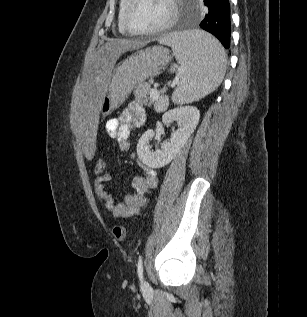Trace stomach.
<instances>
[{
	"label": "stomach",
	"instance_id": "stomach-1",
	"mask_svg": "<svg viewBox=\"0 0 307 317\" xmlns=\"http://www.w3.org/2000/svg\"><path fill=\"white\" fill-rule=\"evenodd\" d=\"M170 60L171 55L167 48L153 46L135 52L119 62L101 101L100 111L103 115H109L119 107L138 83L162 73Z\"/></svg>",
	"mask_w": 307,
	"mask_h": 317
}]
</instances>
